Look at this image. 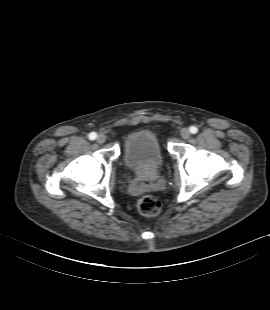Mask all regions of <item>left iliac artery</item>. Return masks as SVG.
<instances>
[{
    "mask_svg": "<svg viewBox=\"0 0 270 310\" xmlns=\"http://www.w3.org/2000/svg\"><path fill=\"white\" fill-rule=\"evenodd\" d=\"M190 132H191L192 134L197 133V132H198L197 127H195V126H191V127H190Z\"/></svg>",
    "mask_w": 270,
    "mask_h": 310,
    "instance_id": "left-iliac-artery-1",
    "label": "left iliac artery"
}]
</instances>
